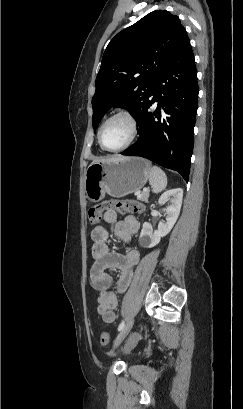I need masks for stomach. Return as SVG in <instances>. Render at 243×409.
<instances>
[{
    "label": "stomach",
    "mask_w": 243,
    "mask_h": 409,
    "mask_svg": "<svg viewBox=\"0 0 243 409\" xmlns=\"http://www.w3.org/2000/svg\"><path fill=\"white\" fill-rule=\"evenodd\" d=\"M150 164L138 157H116L91 163L85 173L84 190L90 202L106 194L121 198L138 192L150 175Z\"/></svg>",
    "instance_id": "1"
}]
</instances>
